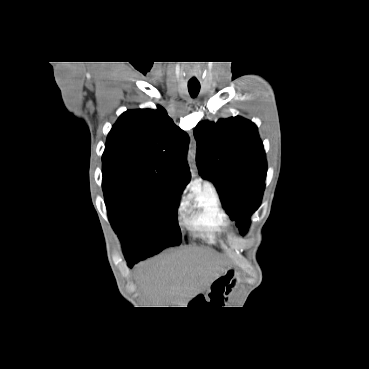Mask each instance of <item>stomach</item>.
<instances>
[{"label":"stomach","instance_id":"0dacf381","mask_svg":"<svg viewBox=\"0 0 369 369\" xmlns=\"http://www.w3.org/2000/svg\"><path fill=\"white\" fill-rule=\"evenodd\" d=\"M238 282L237 272L231 268L222 271L209 285L211 302L217 299L224 304Z\"/></svg>","mask_w":369,"mask_h":369}]
</instances>
